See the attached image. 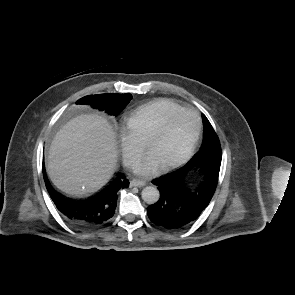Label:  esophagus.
<instances>
[{
	"label": "esophagus",
	"mask_w": 295,
	"mask_h": 295,
	"mask_svg": "<svg viewBox=\"0 0 295 295\" xmlns=\"http://www.w3.org/2000/svg\"><path fill=\"white\" fill-rule=\"evenodd\" d=\"M145 185H146L145 181H140V180L134 179L130 182L131 187H143Z\"/></svg>",
	"instance_id": "obj_1"
}]
</instances>
